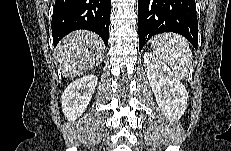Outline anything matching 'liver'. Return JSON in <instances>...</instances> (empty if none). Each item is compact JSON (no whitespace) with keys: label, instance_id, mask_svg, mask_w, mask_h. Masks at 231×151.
<instances>
[{"label":"liver","instance_id":"6515ba94","mask_svg":"<svg viewBox=\"0 0 231 151\" xmlns=\"http://www.w3.org/2000/svg\"><path fill=\"white\" fill-rule=\"evenodd\" d=\"M103 41L90 31L67 35L56 48V63L65 77L74 78L93 69L101 62Z\"/></svg>","mask_w":231,"mask_h":151}]
</instances>
